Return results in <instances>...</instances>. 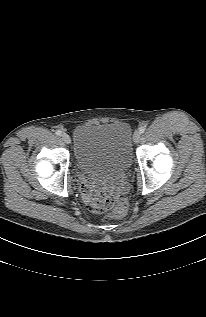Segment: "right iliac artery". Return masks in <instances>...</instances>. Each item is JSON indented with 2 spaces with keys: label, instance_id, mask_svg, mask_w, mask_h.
<instances>
[{
  "label": "right iliac artery",
  "instance_id": "82829eb1",
  "mask_svg": "<svg viewBox=\"0 0 206 317\" xmlns=\"http://www.w3.org/2000/svg\"><path fill=\"white\" fill-rule=\"evenodd\" d=\"M55 134L58 135V136H60V135L62 134V131L56 130Z\"/></svg>",
  "mask_w": 206,
  "mask_h": 317
}]
</instances>
